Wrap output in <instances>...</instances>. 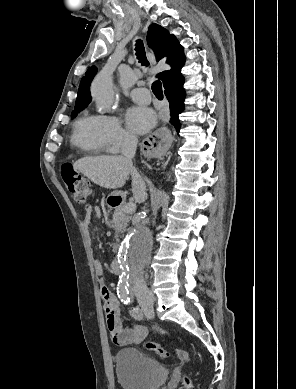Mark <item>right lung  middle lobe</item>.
<instances>
[{"label":"right lung middle lobe","instance_id":"dd1d6c3e","mask_svg":"<svg viewBox=\"0 0 296 389\" xmlns=\"http://www.w3.org/2000/svg\"><path fill=\"white\" fill-rule=\"evenodd\" d=\"M85 107H81V108H77L75 109V111L72 112L71 116L72 117H75L77 115V112L81 111L82 109H84Z\"/></svg>","mask_w":296,"mask_h":389}]
</instances>
